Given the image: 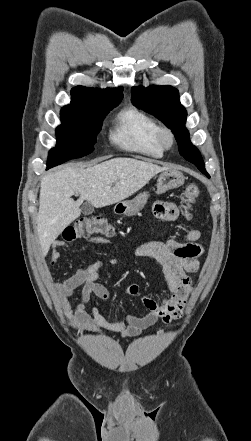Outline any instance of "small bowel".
<instances>
[{"label":"small bowel","instance_id":"small-bowel-1","mask_svg":"<svg viewBox=\"0 0 251 441\" xmlns=\"http://www.w3.org/2000/svg\"><path fill=\"white\" fill-rule=\"evenodd\" d=\"M154 215L162 220L174 221L179 217V210L174 203L158 201L154 205ZM201 237L199 229L188 230L181 240L171 238L165 242H146L135 249V255L156 260L162 266V272L167 283L168 297L155 301L149 297L141 299L142 306L147 310L143 316L127 315L124 318L107 319L97 307L91 311L86 309L92 296L101 300L109 298L108 288L100 283L99 277L103 265L107 262L117 265L118 259L111 257L107 261L97 260L94 263L81 267L67 279L55 282L63 312L74 329L83 332L97 333L100 330L118 332L125 337L139 335L143 330L153 326L158 320L169 323L179 318L191 294L193 281L189 274L198 272L200 263L198 258L203 248L198 243ZM93 243L106 244L107 240L96 237ZM63 241H57L49 262V267L61 270L60 253L58 248L64 246ZM80 289L79 302L73 307L70 298ZM125 292L130 296L139 295V285L130 284Z\"/></svg>","mask_w":251,"mask_h":441}]
</instances>
